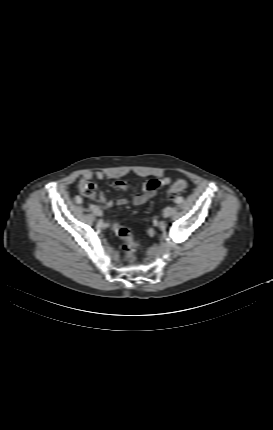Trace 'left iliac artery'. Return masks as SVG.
Listing matches in <instances>:
<instances>
[{"label":"left iliac artery","mask_w":273,"mask_h":430,"mask_svg":"<svg viewBox=\"0 0 273 430\" xmlns=\"http://www.w3.org/2000/svg\"><path fill=\"white\" fill-rule=\"evenodd\" d=\"M183 201V199L181 197H178L177 199H175V203L180 204Z\"/></svg>","instance_id":"left-iliac-artery-1"}]
</instances>
